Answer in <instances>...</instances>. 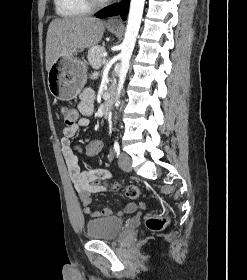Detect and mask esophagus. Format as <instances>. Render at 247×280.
Returning a JSON list of instances; mask_svg holds the SVG:
<instances>
[{
    "instance_id": "34e87169",
    "label": "esophagus",
    "mask_w": 247,
    "mask_h": 280,
    "mask_svg": "<svg viewBox=\"0 0 247 280\" xmlns=\"http://www.w3.org/2000/svg\"><path fill=\"white\" fill-rule=\"evenodd\" d=\"M119 20H120L119 15H116V16L110 17L108 19L107 23L108 24H116V23H119Z\"/></svg>"
}]
</instances>
